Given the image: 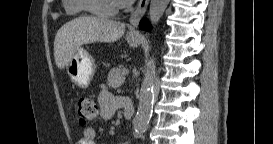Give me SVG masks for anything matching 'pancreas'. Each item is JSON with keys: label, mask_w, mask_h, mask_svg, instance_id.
<instances>
[{"label": "pancreas", "mask_w": 273, "mask_h": 144, "mask_svg": "<svg viewBox=\"0 0 273 144\" xmlns=\"http://www.w3.org/2000/svg\"><path fill=\"white\" fill-rule=\"evenodd\" d=\"M124 71L123 67H115L110 70L107 78V84L112 88L120 87L124 82V77L122 72Z\"/></svg>", "instance_id": "1"}]
</instances>
